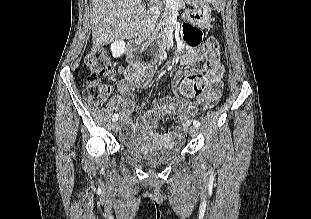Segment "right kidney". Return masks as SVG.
<instances>
[{"instance_id": "obj_1", "label": "right kidney", "mask_w": 311, "mask_h": 219, "mask_svg": "<svg viewBox=\"0 0 311 219\" xmlns=\"http://www.w3.org/2000/svg\"><path fill=\"white\" fill-rule=\"evenodd\" d=\"M126 44L123 40L115 41L111 45V52L114 58H119L124 54Z\"/></svg>"}]
</instances>
